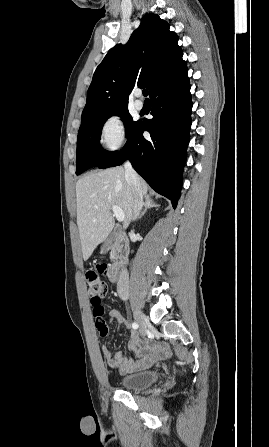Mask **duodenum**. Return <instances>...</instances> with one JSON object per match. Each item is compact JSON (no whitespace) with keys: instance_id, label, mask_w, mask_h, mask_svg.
Returning a JSON list of instances; mask_svg holds the SVG:
<instances>
[{"instance_id":"1","label":"duodenum","mask_w":269,"mask_h":447,"mask_svg":"<svg viewBox=\"0 0 269 447\" xmlns=\"http://www.w3.org/2000/svg\"><path fill=\"white\" fill-rule=\"evenodd\" d=\"M116 262L108 269V278L111 282H117L121 272L128 263L129 243L122 234L117 235L115 242Z\"/></svg>"}]
</instances>
